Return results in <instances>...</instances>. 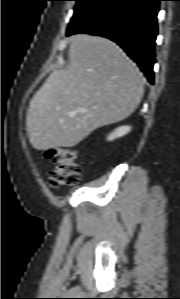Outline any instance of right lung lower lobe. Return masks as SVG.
<instances>
[{
	"mask_svg": "<svg viewBox=\"0 0 180 299\" xmlns=\"http://www.w3.org/2000/svg\"><path fill=\"white\" fill-rule=\"evenodd\" d=\"M159 1L104 0L70 26L67 36L87 33L116 42L153 84Z\"/></svg>",
	"mask_w": 180,
	"mask_h": 299,
	"instance_id": "obj_1",
	"label": "right lung lower lobe"
}]
</instances>
